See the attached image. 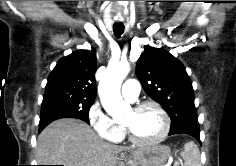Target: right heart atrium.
Masks as SVG:
<instances>
[{"label": "right heart atrium", "instance_id": "d8ad5b80", "mask_svg": "<svg viewBox=\"0 0 236 166\" xmlns=\"http://www.w3.org/2000/svg\"><path fill=\"white\" fill-rule=\"evenodd\" d=\"M88 121L94 132L102 139L117 141L120 137V127L104 111L101 104L95 101L88 110Z\"/></svg>", "mask_w": 236, "mask_h": 166}]
</instances>
